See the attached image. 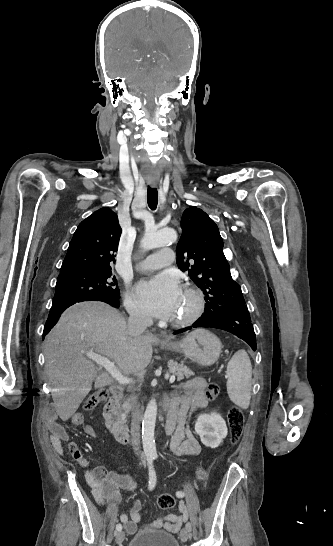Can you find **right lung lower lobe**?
Here are the masks:
<instances>
[{
  "instance_id": "right-lung-lower-lobe-1",
  "label": "right lung lower lobe",
  "mask_w": 333,
  "mask_h": 546,
  "mask_svg": "<svg viewBox=\"0 0 333 546\" xmlns=\"http://www.w3.org/2000/svg\"><path fill=\"white\" fill-rule=\"evenodd\" d=\"M103 301L108 303L109 305L119 308L120 302L117 298L110 297V296H97V297H89V298H83V299H77V300H71V301H63V302H54L52 304V307L49 312L48 319L46 321V324L44 326L43 331V338L45 335L49 333V331L54 327V325L57 323L60 315L63 313V311L68 308L69 306L82 301Z\"/></svg>"
}]
</instances>
